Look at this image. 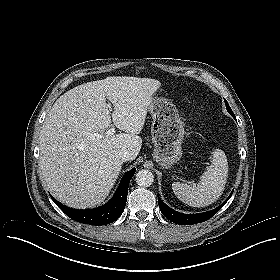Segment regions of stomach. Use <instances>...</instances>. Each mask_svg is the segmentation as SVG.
Masks as SVG:
<instances>
[{"instance_id":"obj_1","label":"stomach","mask_w":280,"mask_h":280,"mask_svg":"<svg viewBox=\"0 0 280 280\" xmlns=\"http://www.w3.org/2000/svg\"><path fill=\"white\" fill-rule=\"evenodd\" d=\"M149 111L153 119V158L161 167L170 168L182 157L184 124L176 106L169 99L153 98Z\"/></svg>"}]
</instances>
